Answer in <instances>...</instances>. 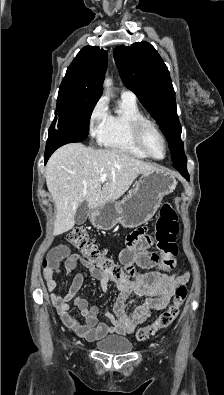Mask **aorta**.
<instances>
[{"mask_svg":"<svg viewBox=\"0 0 224 395\" xmlns=\"http://www.w3.org/2000/svg\"><path fill=\"white\" fill-rule=\"evenodd\" d=\"M111 84H112L111 79H105L104 85L107 88V91L109 90V87L111 86Z\"/></svg>","mask_w":224,"mask_h":395,"instance_id":"1","label":"aorta"}]
</instances>
